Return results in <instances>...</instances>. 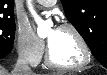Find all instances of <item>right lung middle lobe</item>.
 I'll list each match as a JSON object with an SVG mask.
<instances>
[{"label": "right lung middle lobe", "instance_id": "1", "mask_svg": "<svg viewBox=\"0 0 107 75\" xmlns=\"http://www.w3.org/2000/svg\"><path fill=\"white\" fill-rule=\"evenodd\" d=\"M15 37L14 18L0 19V50L13 48Z\"/></svg>", "mask_w": 107, "mask_h": 75}]
</instances>
